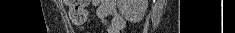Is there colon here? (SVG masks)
<instances>
[{
	"label": "colon",
	"mask_w": 235,
	"mask_h": 33,
	"mask_svg": "<svg viewBox=\"0 0 235 33\" xmlns=\"http://www.w3.org/2000/svg\"><path fill=\"white\" fill-rule=\"evenodd\" d=\"M64 2L69 7L71 22L78 27H82L88 18L86 6L89 0H65Z\"/></svg>",
	"instance_id": "colon-1"
}]
</instances>
